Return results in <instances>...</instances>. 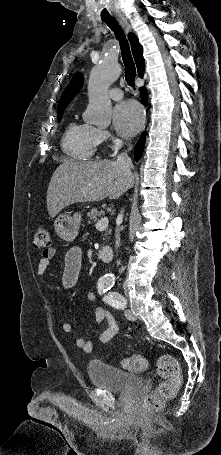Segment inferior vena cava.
<instances>
[{
  "label": "inferior vena cava",
  "mask_w": 221,
  "mask_h": 455,
  "mask_svg": "<svg viewBox=\"0 0 221 455\" xmlns=\"http://www.w3.org/2000/svg\"><path fill=\"white\" fill-rule=\"evenodd\" d=\"M116 163L118 165H120L123 169H125L130 175L132 174L131 173V168L133 167L132 160L126 152L121 153L118 156ZM131 186L132 185H130V187ZM120 216L121 217L123 216V210L121 211ZM119 246H120V230L118 227V228H116V232H115V248L117 249Z\"/></svg>",
  "instance_id": "1"
}]
</instances>
